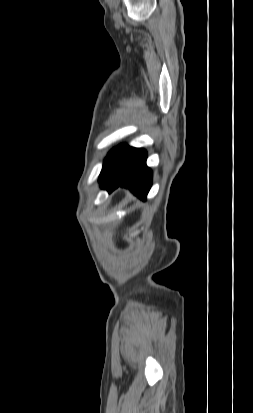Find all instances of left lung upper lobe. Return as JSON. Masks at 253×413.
I'll use <instances>...</instances> for the list:
<instances>
[{"instance_id": "1", "label": "left lung upper lobe", "mask_w": 253, "mask_h": 413, "mask_svg": "<svg viewBox=\"0 0 253 413\" xmlns=\"http://www.w3.org/2000/svg\"><path fill=\"white\" fill-rule=\"evenodd\" d=\"M113 150H114V149H112V150L109 152L108 157L111 155V153L113 152ZM107 159H108V158L105 159L104 163L107 161Z\"/></svg>"}]
</instances>
